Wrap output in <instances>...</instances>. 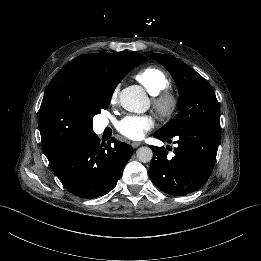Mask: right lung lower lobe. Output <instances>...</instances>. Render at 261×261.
I'll list each match as a JSON object with an SVG mask.
<instances>
[{"label": "right lung lower lobe", "mask_w": 261, "mask_h": 261, "mask_svg": "<svg viewBox=\"0 0 261 261\" xmlns=\"http://www.w3.org/2000/svg\"><path fill=\"white\" fill-rule=\"evenodd\" d=\"M132 154L130 145L114 138L106 145L100 143L93 133L49 162L69 192L80 198L92 199L107 194L116 186Z\"/></svg>", "instance_id": "1"}]
</instances>
